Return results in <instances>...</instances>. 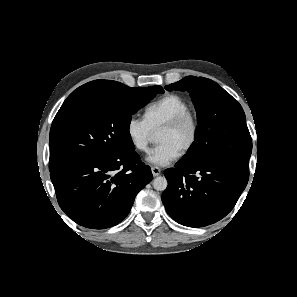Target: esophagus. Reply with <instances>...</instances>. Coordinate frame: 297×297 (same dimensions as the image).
Returning <instances> with one entry per match:
<instances>
[{"label":"esophagus","mask_w":297,"mask_h":297,"mask_svg":"<svg viewBox=\"0 0 297 297\" xmlns=\"http://www.w3.org/2000/svg\"><path fill=\"white\" fill-rule=\"evenodd\" d=\"M151 171H152V174H153L154 177L159 176L160 173H161V170H160V168H158V167H152V168H151Z\"/></svg>","instance_id":"34e87169"}]
</instances>
